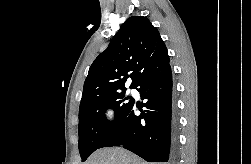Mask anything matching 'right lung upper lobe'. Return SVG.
<instances>
[{
	"instance_id": "cb5924a9",
	"label": "right lung upper lobe",
	"mask_w": 251,
	"mask_h": 164,
	"mask_svg": "<svg viewBox=\"0 0 251 164\" xmlns=\"http://www.w3.org/2000/svg\"><path fill=\"white\" fill-rule=\"evenodd\" d=\"M167 64V48L158 30L146 17H129L108 48L92 63L79 109L102 96L125 91V82L130 76V88H136L146 75Z\"/></svg>"
}]
</instances>
